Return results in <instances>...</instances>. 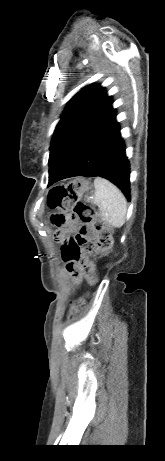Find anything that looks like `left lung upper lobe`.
Masks as SVG:
<instances>
[{
  "instance_id": "1",
  "label": "left lung upper lobe",
  "mask_w": 165,
  "mask_h": 461,
  "mask_svg": "<svg viewBox=\"0 0 165 461\" xmlns=\"http://www.w3.org/2000/svg\"><path fill=\"white\" fill-rule=\"evenodd\" d=\"M111 96L100 85L81 89L68 103L54 131L50 146L49 178L80 138L112 105Z\"/></svg>"
}]
</instances>
